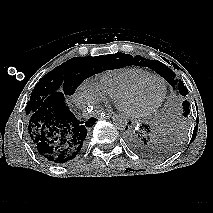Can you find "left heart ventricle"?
Instances as JSON below:
<instances>
[{
  "instance_id": "1",
  "label": "left heart ventricle",
  "mask_w": 213,
  "mask_h": 213,
  "mask_svg": "<svg viewBox=\"0 0 213 213\" xmlns=\"http://www.w3.org/2000/svg\"><path fill=\"white\" fill-rule=\"evenodd\" d=\"M162 84L157 79L146 81L140 88L128 97L124 105L130 110H141L157 103L162 96Z\"/></svg>"
}]
</instances>
